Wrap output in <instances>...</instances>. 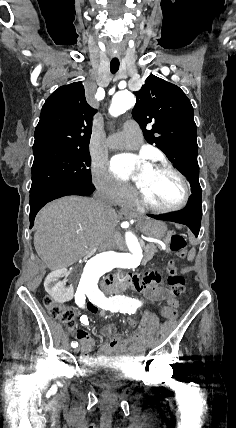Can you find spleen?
<instances>
[{"mask_svg":"<svg viewBox=\"0 0 236 428\" xmlns=\"http://www.w3.org/2000/svg\"><path fill=\"white\" fill-rule=\"evenodd\" d=\"M194 256H195V248H192V250H190L188 254V260H193Z\"/></svg>","mask_w":236,"mask_h":428,"instance_id":"spleen-1","label":"spleen"}]
</instances>
